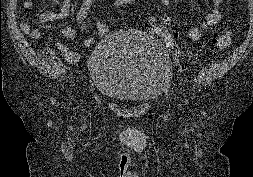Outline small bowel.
I'll return each instance as SVG.
<instances>
[{
	"mask_svg": "<svg viewBox=\"0 0 253 177\" xmlns=\"http://www.w3.org/2000/svg\"><path fill=\"white\" fill-rule=\"evenodd\" d=\"M93 1L94 0H82L81 2L80 8L76 15L77 21L81 29L86 28L85 20L87 19L90 13ZM161 1L164 5H169L171 0H161ZM224 1L225 0H212L213 8L209 13H207L204 21L198 27H192L187 30V37L191 41L200 40L209 30L213 29L222 22L224 17L222 10ZM72 2L73 0H63L59 11L46 10L42 12L39 18L41 24L46 25L50 29H54L53 27L49 26V24L56 20L66 18L71 11ZM33 4L34 0H25L23 3V7L25 9H31L33 7ZM20 27L22 31L26 33L31 32L30 25L25 21L20 22ZM95 29L96 34L99 37L107 36L108 33L110 32L109 26L105 22L98 19L95 21ZM61 35L63 36V38L67 40H73L77 36V31L73 27L66 26L62 28ZM94 44L95 39L93 37H89L84 41V47L87 49L92 48ZM56 48L68 62L76 63L79 61L80 59L79 54L73 52L67 46L61 43H56Z\"/></svg>",
	"mask_w": 253,
	"mask_h": 177,
	"instance_id": "1",
	"label": "small bowel"
}]
</instances>
